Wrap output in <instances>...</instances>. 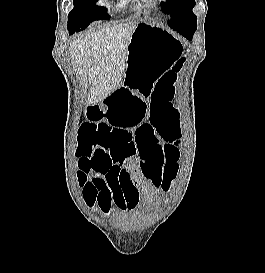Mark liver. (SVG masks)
Masks as SVG:
<instances>
[{"label":"liver","instance_id":"liver-1","mask_svg":"<svg viewBox=\"0 0 265 273\" xmlns=\"http://www.w3.org/2000/svg\"><path fill=\"white\" fill-rule=\"evenodd\" d=\"M138 23L106 27L81 36L70 44L69 55L83 81L88 76V104H96L122 85L130 38Z\"/></svg>","mask_w":265,"mask_h":273}]
</instances>
